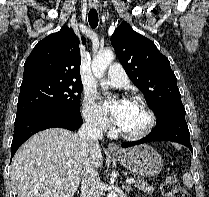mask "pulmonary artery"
Masks as SVG:
<instances>
[{"mask_svg": "<svg viewBox=\"0 0 209 197\" xmlns=\"http://www.w3.org/2000/svg\"><path fill=\"white\" fill-rule=\"evenodd\" d=\"M128 77L120 64L114 63L109 66L108 77L104 84L115 88L124 87L128 83Z\"/></svg>", "mask_w": 209, "mask_h": 197, "instance_id": "e3ab8cb5", "label": "pulmonary artery"}]
</instances>
